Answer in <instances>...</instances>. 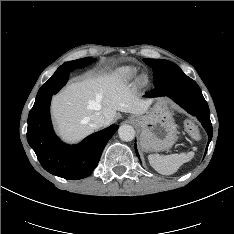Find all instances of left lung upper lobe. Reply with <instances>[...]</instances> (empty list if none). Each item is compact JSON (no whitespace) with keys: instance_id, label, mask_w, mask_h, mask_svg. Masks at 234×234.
<instances>
[{"instance_id":"obj_1","label":"left lung upper lobe","mask_w":234,"mask_h":234,"mask_svg":"<svg viewBox=\"0 0 234 234\" xmlns=\"http://www.w3.org/2000/svg\"><path fill=\"white\" fill-rule=\"evenodd\" d=\"M153 68L154 85L159 86L168 80L185 76L184 72L174 63L164 59H143Z\"/></svg>"}]
</instances>
